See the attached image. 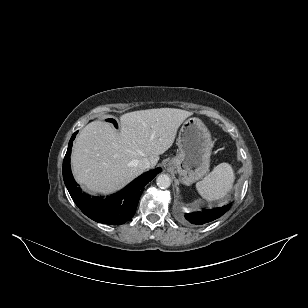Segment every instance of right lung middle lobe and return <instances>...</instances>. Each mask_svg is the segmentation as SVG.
Instances as JSON below:
<instances>
[{
    "mask_svg": "<svg viewBox=\"0 0 308 308\" xmlns=\"http://www.w3.org/2000/svg\"><path fill=\"white\" fill-rule=\"evenodd\" d=\"M107 121L112 122L114 126L117 128V122L114 119H107Z\"/></svg>",
    "mask_w": 308,
    "mask_h": 308,
    "instance_id": "dd1d6c3e",
    "label": "right lung middle lobe"
}]
</instances>
